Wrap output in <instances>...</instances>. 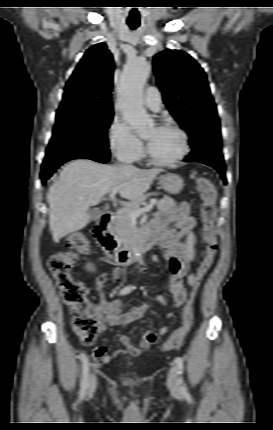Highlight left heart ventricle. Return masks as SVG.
I'll use <instances>...</instances> for the list:
<instances>
[{
    "mask_svg": "<svg viewBox=\"0 0 273 430\" xmlns=\"http://www.w3.org/2000/svg\"><path fill=\"white\" fill-rule=\"evenodd\" d=\"M144 138L148 141L152 154L158 159L169 160L180 153L181 137L173 130L151 127Z\"/></svg>",
    "mask_w": 273,
    "mask_h": 430,
    "instance_id": "1",
    "label": "left heart ventricle"
}]
</instances>
